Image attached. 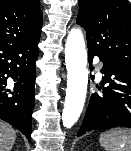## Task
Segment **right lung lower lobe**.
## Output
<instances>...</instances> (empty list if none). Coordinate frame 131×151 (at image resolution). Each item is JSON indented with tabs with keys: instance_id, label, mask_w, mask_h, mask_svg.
Masks as SVG:
<instances>
[{
	"instance_id": "1",
	"label": "right lung lower lobe",
	"mask_w": 131,
	"mask_h": 151,
	"mask_svg": "<svg viewBox=\"0 0 131 151\" xmlns=\"http://www.w3.org/2000/svg\"><path fill=\"white\" fill-rule=\"evenodd\" d=\"M39 40L0 45V119L31 140ZM12 78L15 83H8Z\"/></svg>"
}]
</instances>
